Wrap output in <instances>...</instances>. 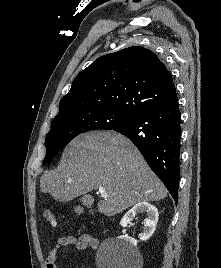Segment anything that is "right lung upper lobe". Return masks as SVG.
<instances>
[{"label": "right lung upper lobe", "instance_id": "right-lung-upper-lobe-1", "mask_svg": "<svg viewBox=\"0 0 221 268\" xmlns=\"http://www.w3.org/2000/svg\"><path fill=\"white\" fill-rule=\"evenodd\" d=\"M176 99L172 76L158 57L143 47H129L81 71L60 101L58 115L110 110L133 118Z\"/></svg>", "mask_w": 221, "mask_h": 268}]
</instances>
